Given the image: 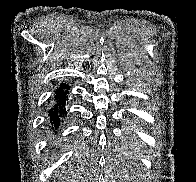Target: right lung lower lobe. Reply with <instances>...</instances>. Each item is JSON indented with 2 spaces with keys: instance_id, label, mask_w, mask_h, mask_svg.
I'll list each match as a JSON object with an SVG mask.
<instances>
[{
  "instance_id": "right-lung-lower-lobe-1",
  "label": "right lung lower lobe",
  "mask_w": 196,
  "mask_h": 182,
  "mask_svg": "<svg viewBox=\"0 0 196 182\" xmlns=\"http://www.w3.org/2000/svg\"><path fill=\"white\" fill-rule=\"evenodd\" d=\"M69 88L68 84L61 83L60 87L55 91L53 104L48 110L47 126L49 132L56 134L67 115Z\"/></svg>"
}]
</instances>
